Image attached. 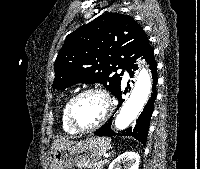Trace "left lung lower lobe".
<instances>
[{"mask_svg": "<svg viewBox=\"0 0 200 169\" xmlns=\"http://www.w3.org/2000/svg\"><path fill=\"white\" fill-rule=\"evenodd\" d=\"M143 58L147 61V64H149V68L152 73V83L153 84H152L151 97H150L148 103L146 104L143 112L140 114L139 118L136 120V125L133 128L130 127L121 132H118L117 135L132 136V137L138 139L143 145H146L147 134H148L149 126H150V119H151V115H152L153 108H154V101L157 96L156 84L158 81V77L156 74L157 64L154 60V50L152 49L151 46L147 49L146 53L143 55ZM135 70H137L136 64H133L131 67H129L128 72L131 77H133ZM121 95H122L121 88H119V90L114 94V96L117 97V99L122 103L123 100H122ZM111 122L112 121L110 119L107 123H105L97 131H95L94 134L97 136L116 135V133L114 131H112V129H111Z\"/></svg>", "mask_w": 200, "mask_h": 169, "instance_id": "0a47b994", "label": "left lung lower lobe"}]
</instances>
